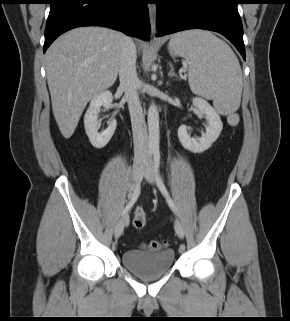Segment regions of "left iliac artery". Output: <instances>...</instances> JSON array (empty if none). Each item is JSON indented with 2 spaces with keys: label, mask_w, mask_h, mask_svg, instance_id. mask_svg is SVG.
<instances>
[{
  "label": "left iliac artery",
  "mask_w": 290,
  "mask_h": 321,
  "mask_svg": "<svg viewBox=\"0 0 290 321\" xmlns=\"http://www.w3.org/2000/svg\"><path fill=\"white\" fill-rule=\"evenodd\" d=\"M159 166H160V152L156 151L153 154V168H154V172L156 174L157 186H158L159 190L162 192V194L164 195V197L166 198L170 208L173 210V212L175 214H177L176 206H175L173 200L171 199V197L165 187V184L160 176Z\"/></svg>",
  "instance_id": "1"
}]
</instances>
